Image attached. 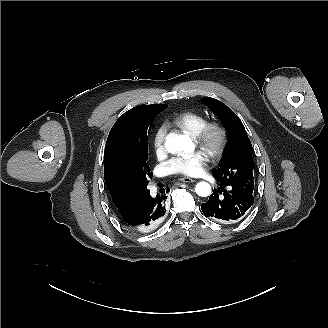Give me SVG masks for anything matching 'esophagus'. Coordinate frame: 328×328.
Listing matches in <instances>:
<instances>
[{"mask_svg": "<svg viewBox=\"0 0 328 328\" xmlns=\"http://www.w3.org/2000/svg\"><path fill=\"white\" fill-rule=\"evenodd\" d=\"M178 180L181 181V182H185V183H192V182L195 181L194 179L189 178V177L179 178Z\"/></svg>", "mask_w": 328, "mask_h": 328, "instance_id": "esophagus-1", "label": "esophagus"}]
</instances>
